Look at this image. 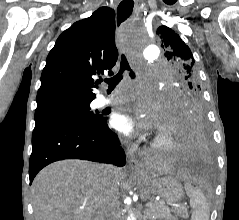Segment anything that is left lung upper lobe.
Listing matches in <instances>:
<instances>
[{"label":"left lung upper lobe","mask_w":239,"mask_h":220,"mask_svg":"<svg viewBox=\"0 0 239 220\" xmlns=\"http://www.w3.org/2000/svg\"><path fill=\"white\" fill-rule=\"evenodd\" d=\"M156 34L172 65L174 79L168 88L167 108L172 118L181 110L203 106V96L195 59L180 36L167 26H160Z\"/></svg>","instance_id":"5c2ea615"}]
</instances>
